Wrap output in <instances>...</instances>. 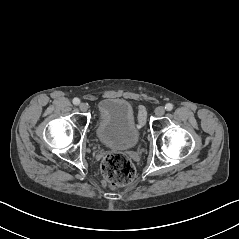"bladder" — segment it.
I'll return each mask as SVG.
<instances>
[{
	"instance_id": "obj_1",
	"label": "bladder",
	"mask_w": 239,
	"mask_h": 239,
	"mask_svg": "<svg viewBox=\"0 0 239 239\" xmlns=\"http://www.w3.org/2000/svg\"><path fill=\"white\" fill-rule=\"evenodd\" d=\"M98 110L95 134L100 143L120 150L133 149L138 145L140 131L129 101L122 98H105L100 101Z\"/></svg>"
}]
</instances>
